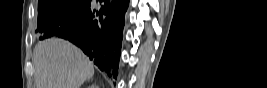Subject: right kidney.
Masks as SVG:
<instances>
[{
  "instance_id": "right-kidney-1",
  "label": "right kidney",
  "mask_w": 267,
  "mask_h": 88,
  "mask_svg": "<svg viewBox=\"0 0 267 88\" xmlns=\"http://www.w3.org/2000/svg\"><path fill=\"white\" fill-rule=\"evenodd\" d=\"M89 88H99L96 84H92Z\"/></svg>"
}]
</instances>
